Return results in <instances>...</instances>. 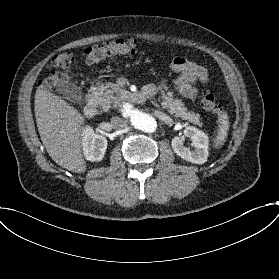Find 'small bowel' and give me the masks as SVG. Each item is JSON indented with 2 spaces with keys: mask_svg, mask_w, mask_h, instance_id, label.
Segmentation results:
<instances>
[{
  "mask_svg": "<svg viewBox=\"0 0 279 279\" xmlns=\"http://www.w3.org/2000/svg\"><path fill=\"white\" fill-rule=\"evenodd\" d=\"M171 67L177 74L173 81L174 88L178 94L186 98H194L197 95L196 82H206L208 80L207 70L203 66L183 57L175 58ZM158 88L151 86L146 89L145 93L152 94Z\"/></svg>",
  "mask_w": 279,
  "mask_h": 279,
  "instance_id": "1",
  "label": "small bowel"
}]
</instances>
